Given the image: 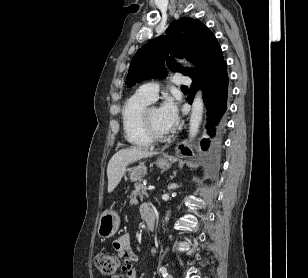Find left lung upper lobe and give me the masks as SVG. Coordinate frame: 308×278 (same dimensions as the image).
Returning a JSON list of instances; mask_svg holds the SVG:
<instances>
[{"instance_id": "left-lung-upper-lobe-1", "label": "left lung upper lobe", "mask_w": 308, "mask_h": 278, "mask_svg": "<svg viewBox=\"0 0 308 278\" xmlns=\"http://www.w3.org/2000/svg\"><path fill=\"white\" fill-rule=\"evenodd\" d=\"M173 57H185L195 62L197 69L174 64ZM164 59L170 70L191 78L210 73L224 61L221 47L211 31L198 20L182 18L169 25L166 35L148 42L137 51L131 61L126 85L131 87L147 78L166 76Z\"/></svg>"}]
</instances>
